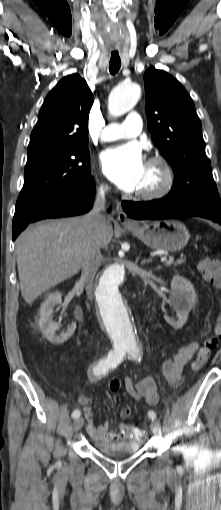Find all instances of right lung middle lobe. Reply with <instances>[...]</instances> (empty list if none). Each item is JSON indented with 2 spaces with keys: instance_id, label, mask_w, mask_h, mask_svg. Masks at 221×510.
Here are the masks:
<instances>
[{
  "instance_id": "right-lung-middle-lobe-1",
  "label": "right lung middle lobe",
  "mask_w": 221,
  "mask_h": 510,
  "mask_svg": "<svg viewBox=\"0 0 221 510\" xmlns=\"http://www.w3.org/2000/svg\"><path fill=\"white\" fill-rule=\"evenodd\" d=\"M89 161L86 145L81 144L28 155L15 216L25 219L50 201L87 183L91 177Z\"/></svg>"
}]
</instances>
